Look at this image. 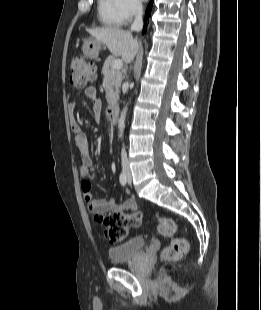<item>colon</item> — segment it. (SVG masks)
Masks as SVG:
<instances>
[{
	"label": "colon",
	"mask_w": 261,
	"mask_h": 310,
	"mask_svg": "<svg viewBox=\"0 0 261 310\" xmlns=\"http://www.w3.org/2000/svg\"><path fill=\"white\" fill-rule=\"evenodd\" d=\"M71 83L76 88H83L96 76V67L81 55H75L70 60ZM140 212L139 210L137 211ZM143 219L141 214L133 216L122 213H110L99 217V221L104 225V235L108 242L118 243L122 241L129 227H138ZM158 232L170 239V244L163 250L162 259L164 261H176L184 256L188 249L187 241L178 237V226L169 217H159L157 219Z\"/></svg>",
	"instance_id": "obj_1"
}]
</instances>
